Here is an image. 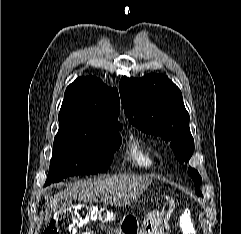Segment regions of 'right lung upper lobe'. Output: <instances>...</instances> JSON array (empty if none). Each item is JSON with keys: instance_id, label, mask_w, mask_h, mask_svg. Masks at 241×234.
<instances>
[{"instance_id": "right-lung-upper-lobe-1", "label": "right lung upper lobe", "mask_w": 241, "mask_h": 234, "mask_svg": "<svg viewBox=\"0 0 241 234\" xmlns=\"http://www.w3.org/2000/svg\"><path fill=\"white\" fill-rule=\"evenodd\" d=\"M119 113L117 89L90 76L79 77L67 87L59 115L72 118L82 127L123 128Z\"/></svg>"}]
</instances>
